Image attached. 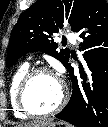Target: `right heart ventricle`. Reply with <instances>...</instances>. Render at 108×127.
Here are the masks:
<instances>
[{
    "mask_svg": "<svg viewBox=\"0 0 108 127\" xmlns=\"http://www.w3.org/2000/svg\"><path fill=\"white\" fill-rule=\"evenodd\" d=\"M28 71L29 64L23 63L14 71L10 80L9 100L15 116L18 118H26L28 116L22 112L17 103V91L19 84Z\"/></svg>",
    "mask_w": 108,
    "mask_h": 127,
    "instance_id": "obj_1",
    "label": "right heart ventricle"
}]
</instances>
